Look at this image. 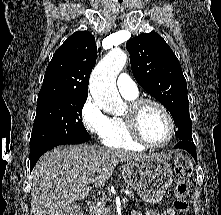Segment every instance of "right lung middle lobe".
<instances>
[{"label": "right lung middle lobe", "mask_w": 221, "mask_h": 215, "mask_svg": "<svg viewBox=\"0 0 221 215\" xmlns=\"http://www.w3.org/2000/svg\"><path fill=\"white\" fill-rule=\"evenodd\" d=\"M86 99L87 97H58L38 102L30 152L46 144L89 135L80 118Z\"/></svg>", "instance_id": "right-lung-middle-lobe-1"}]
</instances>
